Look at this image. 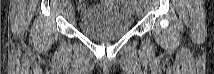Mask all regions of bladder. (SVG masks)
<instances>
[{
    "mask_svg": "<svg viewBox=\"0 0 214 74\" xmlns=\"http://www.w3.org/2000/svg\"><path fill=\"white\" fill-rule=\"evenodd\" d=\"M121 1H103L87 10L79 19L78 30L93 40L109 41L127 34L133 24V13Z\"/></svg>",
    "mask_w": 214,
    "mask_h": 74,
    "instance_id": "bladder-1",
    "label": "bladder"
}]
</instances>
